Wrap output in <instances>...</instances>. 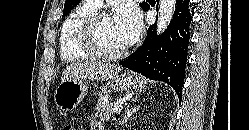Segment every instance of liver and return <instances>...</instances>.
Here are the masks:
<instances>
[{
    "label": "liver",
    "instance_id": "1",
    "mask_svg": "<svg viewBox=\"0 0 249 130\" xmlns=\"http://www.w3.org/2000/svg\"><path fill=\"white\" fill-rule=\"evenodd\" d=\"M121 70V66L96 61L72 63L63 70L61 82L83 79L109 80Z\"/></svg>",
    "mask_w": 249,
    "mask_h": 130
}]
</instances>
